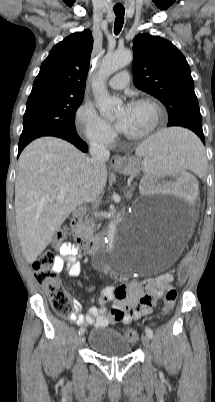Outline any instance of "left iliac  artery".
Instances as JSON below:
<instances>
[{"mask_svg": "<svg viewBox=\"0 0 215 402\" xmlns=\"http://www.w3.org/2000/svg\"><path fill=\"white\" fill-rule=\"evenodd\" d=\"M145 333L149 338L153 337V331L149 327H146Z\"/></svg>", "mask_w": 215, "mask_h": 402, "instance_id": "1", "label": "left iliac artery"}]
</instances>
